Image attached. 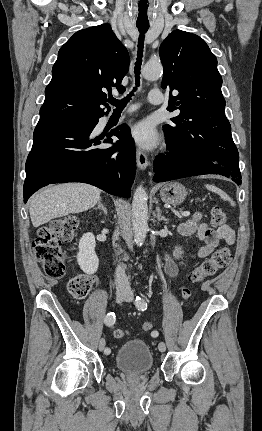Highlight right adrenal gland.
I'll return each mask as SVG.
<instances>
[{
  "instance_id": "1",
  "label": "right adrenal gland",
  "mask_w": 262,
  "mask_h": 431,
  "mask_svg": "<svg viewBox=\"0 0 262 431\" xmlns=\"http://www.w3.org/2000/svg\"><path fill=\"white\" fill-rule=\"evenodd\" d=\"M95 209H102L104 211L105 214H107V209L105 207V205L101 202V200L98 203V206L95 207Z\"/></svg>"
}]
</instances>
